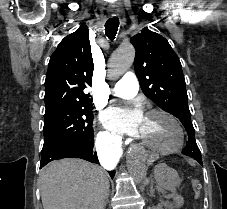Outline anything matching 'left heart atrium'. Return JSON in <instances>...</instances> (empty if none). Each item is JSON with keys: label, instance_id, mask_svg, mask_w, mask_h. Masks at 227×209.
<instances>
[{"label": "left heart atrium", "instance_id": "1", "mask_svg": "<svg viewBox=\"0 0 227 209\" xmlns=\"http://www.w3.org/2000/svg\"><path fill=\"white\" fill-rule=\"evenodd\" d=\"M141 103L135 102L133 106H109L103 113L102 123L110 130L118 133H136L144 122Z\"/></svg>", "mask_w": 227, "mask_h": 209}]
</instances>
